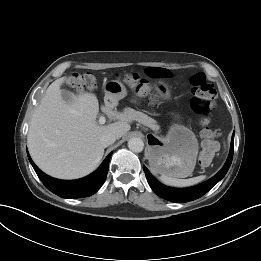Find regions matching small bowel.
Masks as SVG:
<instances>
[{"label": "small bowel", "mask_w": 261, "mask_h": 261, "mask_svg": "<svg viewBox=\"0 0 261 261\" xmlns=\"http://www.w3.org/2000/svg\"><path fill=\"white\" fill-rule=\"evenodd\" d=\"M147 74L155 78H166L170 76V72L164 68H151L147 70Z\"/></svg>", "instance_id": "1"}]
</instances>
